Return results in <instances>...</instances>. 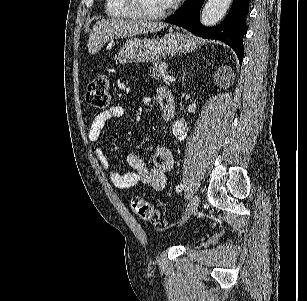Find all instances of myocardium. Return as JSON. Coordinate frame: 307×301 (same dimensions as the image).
Listing matches in <instances>:
<instances>
[{"label":"myocardium","instance_id":"1","mask_svg":"<svg viewBox=\"0 0 307 301\" xmlns=\"http://www.w3.org/2000/svg\"><path fill=\"white\" fill-rule=\"evenodd\" d=\"M143 5L141 0H127L124 3V6L128 7L130 17L137 18L138 22H158L159 18L169 17V11L173 6L172 3H168L162 5L159 11H141Z\"/></svg>","mask_w":307,"mask_h":301}]
</instances>
